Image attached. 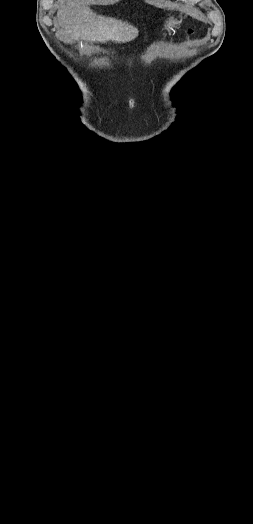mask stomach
I'll list each match as a JSON object with an SVG mask.
<instances>
[{
	"label": "stomach",
	"instance_id": "stomach-1",
	"mask_svg": "<svg viewBox=\"0 0 253 524\" xmlns=\"http://www.w3.org/2000/svg\"><path fill=\"white\" fill-rule=\"evenodd\" d=\"M178 23H179V22H178L176 19H174L173 17H171L168 21H166V23H165V29H166L168 32L174 31V28L177 27Z\"/></svg>",
	"mask_w": 253,
	"mask_h": 524
}]
</instances>
